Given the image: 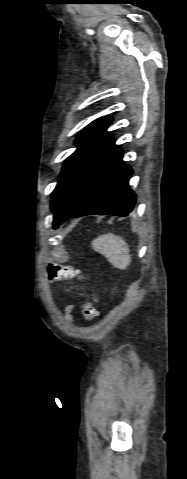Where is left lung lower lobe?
<instances>
[{
	"instance_id": "1",
	"label": "left lung lower lobe",
	"mask_w": 187,
	"mask_h": 479,
	"mask_svg": "<svg viewBox=\"0 0 187 479\" xmlns=\"http://www.w3.org/2000/svg\"><path fill=\"white\" fill-rule=\"evenodd\" d=\"M115 145L93 161L54 209V228L71 217L90 214L127 216L136 196L128 181L133 173Z\"/></svg>"
}]
</instances>
